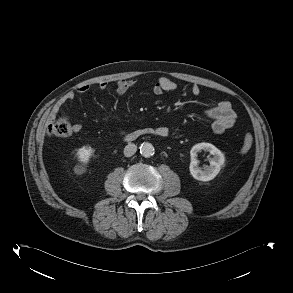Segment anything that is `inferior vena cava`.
<instances>
[{
    "label": "inferior vena cava",
    "instance_id": "1",
    "mask_svg": "<svg viewBox=\"0 0 293 293\" xmlns=\"http://www.w3.org/2000/svg\"><path fill=\"white\" fill-rule=\"evenodd\" d=\"M136 151H137V146L133 143H129L124 148V155L126 157H131L132 155L135 154Z\"/></svg>",
    "mask_w": 293,
    "mask_h": 293
}]
</instances>
